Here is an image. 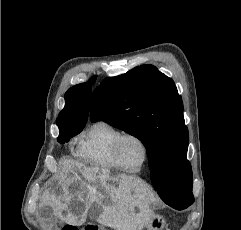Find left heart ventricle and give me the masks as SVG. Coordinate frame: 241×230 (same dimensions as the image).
I'll list each match as a JSON object with an SVG mask.
<instances>
[{
    "mask_svg": "<svg viewBox=\"0 0 241 230\" xmlns=\"http://www.w3.org/2000/svg\"><path fill=\"white\" fill-rule=\"evenodd\" d=\"M121 158L127 166L138 167L144 158L142 145L134 138L126 139L121 147Z\"/></svg>",
    "mask_w": 241,
    "mask_h": 230,
    "instance_id": "left-heart-ventricle-1",
    "label": "left heart ventricle"
}]
</instances>
